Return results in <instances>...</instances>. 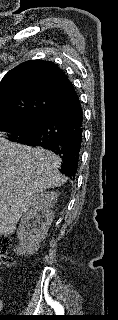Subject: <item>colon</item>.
<instances>
[{"label":"colon","instance_id":"colon-1","mask_svg":"<svg viewBox=\"0 0 118 320\" xmlns=\"http://www.w3.org/2000/svg\"><path fill=\"white\" fill-rule=\"evenodd\" d=\"M11 244L12 241L8 236H0V264L10 262L7 254Z\"/></svg>","mask_w":118,"mask_h":320}]
</instances>
